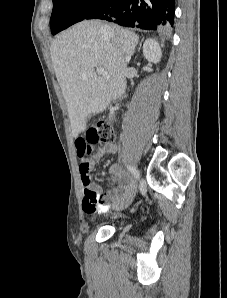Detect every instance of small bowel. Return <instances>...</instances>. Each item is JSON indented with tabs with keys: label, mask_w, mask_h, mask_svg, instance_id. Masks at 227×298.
<instances>
[{
	"label": "small bowel",
	"mask_w": 227,
	"mask_h": 298,
	"mask_svg": "<svg viewBox=\"0 0 227 298\" xmlns=\"http://www.w3.org/2000/svg\"><path fill=\"white\" fill-rule=\"evenodd\" d=\"M79 139H74L75 151L77 158H81L80 176L83 189V210L85 213L92 215L97 212L106 211L107 203L110 201L121 202L134 192V185L129 176L122 171L118 165H111L109 172L113 180H118L119 185L111 190L108 194L102 195L101 189L90 182L89 171L99 162L106 154H114L117 152V144H104L93 154V146L90 142H86L85 135L79 134ZM93 154V155H92ZM88 155H92L89 159ZM88 179L85 182V179Z\"/></svg>",
	"instance_id": "c3829d8e"
}]
</instances>
